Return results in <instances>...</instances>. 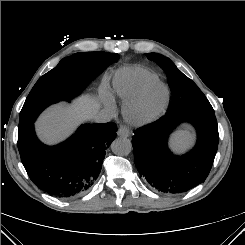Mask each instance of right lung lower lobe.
Returning a JSON list of instances; mask_svg holds the SVG:
<instances>
[{
  "label": "right lung lower lobe",
  "instance_id": "right-lung-lower-lobe-1",
  "mask_svg": "<svg viewBox=\"0 0 245 245\" xmlns=\"http://www.w3.org/2000/svg\"><path fill=\"white\" fill-rule=\"evenodd\" d=\"M81 64L87 84L107 67L94 56L84 57ZM116 131L113 122L86 124L65 142L46 146L31 123L19 128L17 144L27 174L38 188L59 198H72L86 192L98 178L105 149Z\"/></svg>",
  "mask_w": 245,
  "mask_h": 245
}]
</instances>
